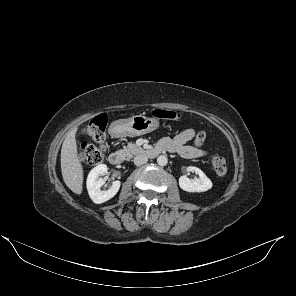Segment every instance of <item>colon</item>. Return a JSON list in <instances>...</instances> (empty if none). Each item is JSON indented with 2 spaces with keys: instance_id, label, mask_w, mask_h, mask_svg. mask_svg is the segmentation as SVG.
<instances>
[{
  "instance_id": "5ec220e1",
  "label": "colon",
  "mask_w": 296,
  "mask_h": 296,
  "mask_svg": "<svg viewBox=\"0 0 296 296\" xmlns=\"http://www.w3.org/2000/svg\"><path fill=\"white\" fill-rule=\"evenodd\" d=\"M152 114L157 118L167 120H178L181 117L180 113L166 109H155L152 111ZM106 125L107 117L105 115H99L90 122L88 126V134L95 144L83 142L79 145L78 155L83 163L96 165L103 160L104 153L106 151ZM205 138V133L199 131L194 138L195 146H202L205 142ZM211 163L218 176H224L227 173V164L222 156H213Z\"/></svg>"
}]
</instances>
